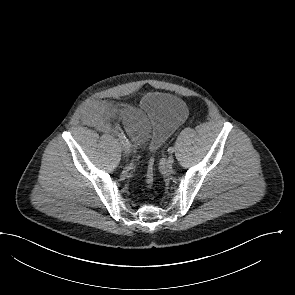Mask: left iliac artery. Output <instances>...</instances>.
I'll use <instances>...</instances> for the list:
<instances>
[{
    "label": "left iliac artery",
    "mask_w": 295,
    "mask_h": 295,
    "mask_svg": "<svg viewBox=\"0 0 295 295\" xmlns=\"http://www.w3.org/2000/svg\"><path fill=\"white\" fill-rule=\"evenodd\" d=\"M174 151H175V149L173 147H169L168 148V153L169 154H172Z\"/></svg>",
    "instance_id": "left-iliac-artery-1"
}]
</instances>
